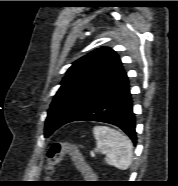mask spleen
Instances as JSON below:
<instances>
[{
    "mask_svg": "<svg viewBox=\"0 0 178 186\" xmlns=\"http://www.w3.org/2000/svg\"><path fill=\"white\" fill-rule=\"evenodd\" d=\"M96 139V152L105 154V162L120 170L130 167L133 156V144L123 133L106 126L93 129Z\"/></svg>",
    "mask_w": 178,
    "mask_h": 186,
    "instance_id": "obj_1",
    "label": "spleen"
}]
</instances>
